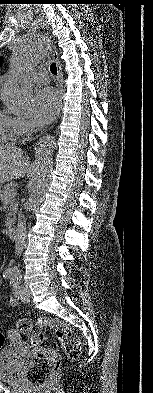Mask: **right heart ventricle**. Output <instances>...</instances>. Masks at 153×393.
Instances as JSON below:
<instances>
[{
	"instance_id": "right-heart-ventricle-1",
	"label": "right heart ventricle",
	"mask_w": 153,
	"mask_h": 393,
	"mask_svg": "<svg viewBox=\"0 0 153 393\" xmlns=\"http://www.w3.org/2000/svg\"><path fill=\"white\" fill-rule=\"evenodd\" d=\"M18 136L17 117L0 110V143L11 141Z\"/></svg>"
}]
</instances>
